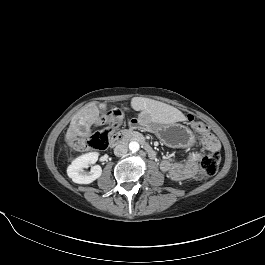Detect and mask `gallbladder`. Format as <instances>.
Segmentation results:
<instances>
[{"label": "gallbladder", "mask_w": 265, "mask_h": 265, "mask_svg": "<svg viewBox=\"0 0 265 265\" xmlns=\"http://www.w3.org/2000/svg\"><path fill=\"white\" fill-rule=\"evenodd\" d=\"M100 108L106 110L107 109L106 104H100Z\"/></svg>", "instance_id": "obj_1"}]
</instances>
